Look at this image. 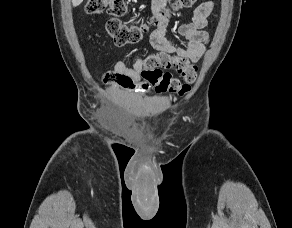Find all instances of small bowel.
Returning <instances> with one entry per match:
<instances>
[{"label": "small bowel", "instance_id": "obj_1", "mask_svg": "<svg viewBox=\"0 0 292 228\" xmlns=\"http://www.w3.org/2000/svg\"><path fill=\"white\" fill-rule=\"evenodd\" d=\"M165 2L166 0H152V11L154 15L160 17V21L157 30L150 36V44L158 52L156 55L170 56L193 66L201 59L206 50L209 35L205 31V27L213 10L214 2L212 0L202 2L195 9L192 20L178 27V33L188 41L186 46L182 48L175 47L165 36L168 17L161 16ZM145 60L134 57L130 65L118 61L114 65V70L139 81L141 72L145 68Z\"/></svg>", "mask_w": 292, "mask_h": 228}]
</instances>
